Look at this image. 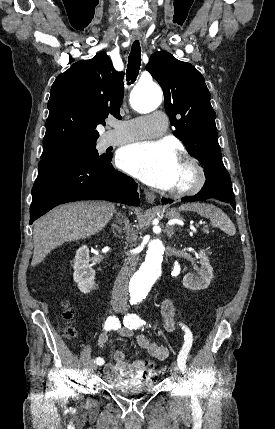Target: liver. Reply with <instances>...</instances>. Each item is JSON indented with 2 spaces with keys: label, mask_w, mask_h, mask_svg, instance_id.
Here are the masks:
<instances>
[{
  "label": "liver",
  "mask_w": 275,
  "mask_h": 429,
  "mask_svg": "<svg viewBox=\"0 0 275 429\" xmlns=\"http://www.w3.org/2000/svg\"><path fill=\"white\" fill-rule=\"evenodd\" d=\"M114 213L115 205L110 202H76L48 212L34 223L32 266L63 243L98 233Z\"/></svg>",
  "instance_id": "liver-1"
}]
</instances>
